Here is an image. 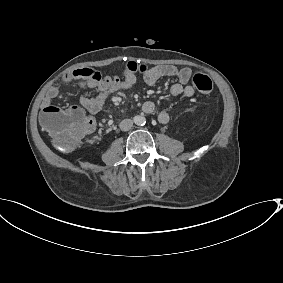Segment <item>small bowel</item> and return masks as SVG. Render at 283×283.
<instances>
[{"label":"small bowel","instance_id":"c3829d8e","mask_svg":"<svg viewBox=\"0 0 283 283\" xmlns=\"http://www.w3.org/2000/svg\"><path fill=\"white\" fill-rule=\"evenodd\" d=\"M166 77H173L178 80L170 88L173 96L191 97L194 95V88L189 84L191 78V70L188 68H177L174 65H158L154 66L144 73V82L148 86H154L157 82ZM65 80L74 82L76 86L86 90L80 97V105L90 114L98 113L108 97L120 90L130 88L136 81L134 73L125 70L123 79L117 76H102L98 71L90 68L75 69L66 74ZM59 89L52 86L46 92L42 101V111L49 107H54L52 102L58 98ZM144 113L149 115L156 114L157 120L162 124H167L170 115L166 111H157L156 105L152 101H145L142 105Z\"/></svg>","mask_w":283,"mask_h":283}]
</instances>
